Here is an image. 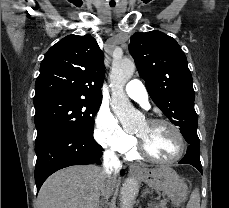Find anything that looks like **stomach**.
<instances>
[{"label": "stomach", "instance_id": "1", "mask_svg": "<svg viewBox=\"0 0 229 208\" xmlns=\"http://www.w3.org/2000/svg\"><path fill=\"white\" fill-rule=\"evenodd\" d=\"M137 178L140 182L147 184L149 188L165 192L167 198L174 204V208H178L188 196L187 184L183 180H179L176 172L170 170L168 166H156L153 170L142 168L141 172H138Z\"/></svg>", "mask_w": 229, "mask_h": 208}]
</instances>
